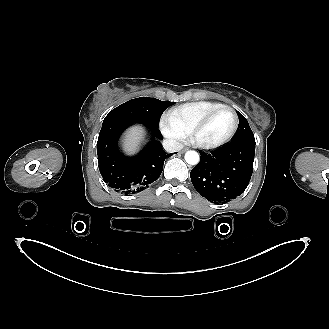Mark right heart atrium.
Segmentation results:
<instances>
[{
    "instance_id": "right-heart-atrium-1",
    "label": "right heart atrium",
    "mask_w": 329,
    "mask_h": 329,
    "mask_svg": "<svg viewBox=\"0 0 329 329\" xmlns=\"http://www.w3.org/2000/svg\"><path fill=\"white\" fill-rule=\"evenodd\" d=\"M161 129L164 135L169 138L174 143H178L183 140L186 134L177 127L169 118L168 116H164L161 120Z\"/></svg>"
}]
</instances>
